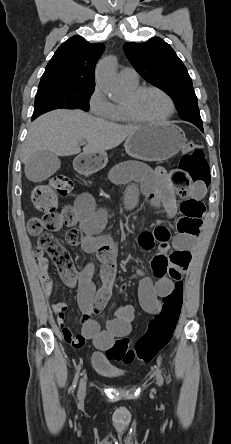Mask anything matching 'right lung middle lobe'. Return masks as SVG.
Returning <instances> with one entry per match:
<instances>
[{
    "label": "right lung middle lobe",
    "instance_id": "obj_1",
    "mask_svg": "<svg viewBox=\"0 0 231 444\" xmlns=\"http://www.w3.org/2000/svg\"><path fill=\"white\" fill-rule=\"evenodd\" d=\"M94 87L53 86L38 88L32 120L50 110L67 108L88 110V99Z\"/></svg>",
    "mask_w": 231,
    "mask_h": 444
}]
</instances>
